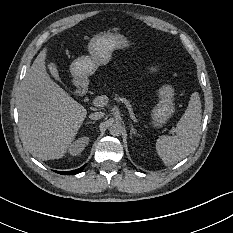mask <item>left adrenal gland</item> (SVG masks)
I'll list each match as a JSON object with an SVG mask.
<instances>
[{
  "instance_id": "obj_1",
  "label": "left adrenal gland",
  "mask_w": 233,
  "mask_h": 233,
  "mask_svg": "<svg viewBox=\"0 0 233 233\" xmlns=\"http://www.w3.org/2000/svg\"><path fill=\"white\" fill-rule=\"evenodd\" d=\"M131 133H133V134H136V129L133 127V125L131 124V131H130Z\"/></svg>"
}]
</instances>
